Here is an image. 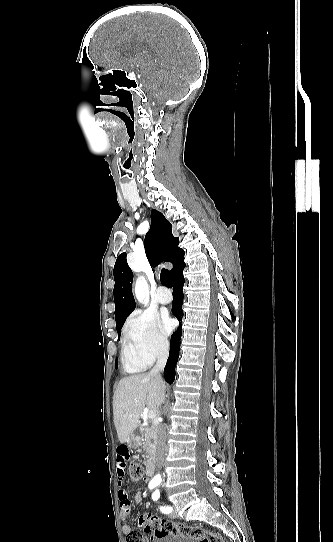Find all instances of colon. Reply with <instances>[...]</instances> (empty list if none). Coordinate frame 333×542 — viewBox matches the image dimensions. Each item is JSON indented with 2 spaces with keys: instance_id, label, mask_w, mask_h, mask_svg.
Here are the masks:
<instances>
[{
  "instance_id": "obj_1",
  "label": "colon",
  "mask_w": 333,
  "mask_h": 542,
  "mask_svg": "<svg viewBox=\"0 0 333 542\" xmlns=\"http://www.w3.org/2000/svg\"><path fill=\"white\" fill-rule=\"evenodd\" d=\"M130 472L133 480L140 481L146 474V467L141 463L132 461ZM138 525L143 530V537L140 531H128L126 535L127 542H146L144 532L150 534L153 531L155 532V538L158 539L173 536L192 542H231L230 536H220L198 525L160 519L150 512H144L138 517Z\"/></svg>"
}]
</instances>
